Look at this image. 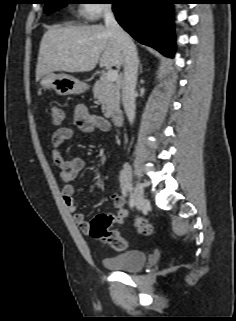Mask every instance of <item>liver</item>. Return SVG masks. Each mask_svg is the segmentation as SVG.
<instances>
[{"label": "liver", "mask_w": 236, "mask_h": 321, "mask_svg": "<svg viewBox=\"0 0 236 321\" xmlns=\"http://www.w3.org/2000/svg\"><path fill=\"white\" fill-rule=\"evenodd\" d=\"M101 67L120 69L124 53L115 36L103 25L55 26L43 35L36 66V81L53 72H87Z\"/></svg>", "instance_id": "6515ba94"}]
</instances>
